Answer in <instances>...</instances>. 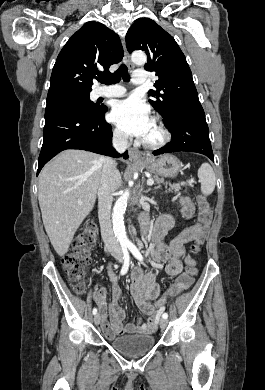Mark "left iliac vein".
<instances>
[{"instance_id":"left-iliac-vein-1","label":"left iliac vein","mask_w":265,"mask_h":390,"mask_svg":"<svg viewBox=\"0 0 265 390\" xmlns=\"http://www.w3.org/2000/svg\"><path fill=\"white\" fill-rule=\"evenodd\" d=\"M167 324H168V321L166 319H161L159 322L160 327L163 329L167 327Z\"/></svg>"}]
</instances>
